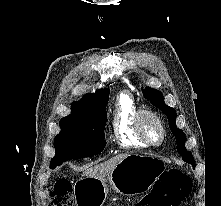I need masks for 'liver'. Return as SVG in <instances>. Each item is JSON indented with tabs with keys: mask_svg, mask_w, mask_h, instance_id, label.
Returning <instances> with one entry per match:
<instances>
[{
	"mask_svg": "<svg viewBox=\"0 0 221 206\" xmlns=\"http://www.w3.org/2000/svg\"><path fill=\"white\" fill-rule=\"evenodd\" d=\"M127 156V154H120L103 163L89 167L83 175L92 178L103 179L104 177L109 176L117 164Z\"/></svg>",
	"mask_w": 221,
	"mask_h": 206,
	"instance_id": "1",
	"label": "liver"
}]
</instances>
